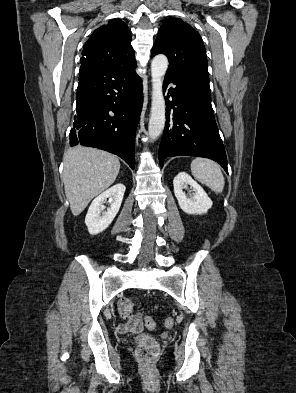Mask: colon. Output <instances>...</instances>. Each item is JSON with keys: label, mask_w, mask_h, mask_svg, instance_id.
I'll return each instance as SVG.
<instances>
[{"label": "colon", "mask_w": 296, "mask_h": 393, "mask_svg": "<svg viewBox=\"0 0 296 393\" xmlns=\"http://www.w3.org/2000/svg\"><path fill=\"white\" fill-rule=\"evenodd\" d=\"M132 310L133 303L131 300L122 299L119 302V311L123 317L129 318L132 314ZM144 323L148 329H153L155 327V320L151 316H145ZM173 325L174 321L172 318H167L165 320L166 327H172ZM136 343L138 357L146 366L150 365L159 351L157 342L147 335H141L137 338Z\"/></svg>", "instance_id": "5ec220e1"}]
</instances>
